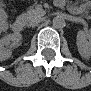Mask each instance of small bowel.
Returning a JSON list of instances; mask_svg holds the SVG:
<instances>
[{"label":"small bowel","mask_w":91,"mask_h":91,"mask_svg":"<svg viewBox=\"0 0 91 91\" xmlns=\"http://www.w3.org/2000/svg\"><path fill=\"white\" fill-rule=\"evenodd\" d=\"M0 27L2 30H5L7 28V16L6 12L0 11Z\"/></svg>","instance_id":"1"}]
</instances>
